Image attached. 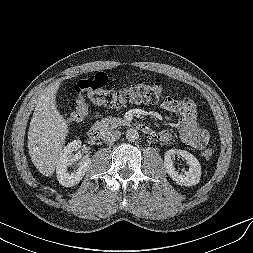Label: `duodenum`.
<instances>
[{
    "instance_id": "obj_1",
    "label": "duodenum",
    "mask_w": 253,
    "mask_h": 253,
    "mask_svg": "<svg viewBox=\"0 0 253 253\" xmlns=\"http://www.w3.org/2000/svg\"><path fill=\"white\" fill-rule=\"evenodd\" d=\"M139 129L147 134V135H152L153 134V130L150 126H148L147 124H141L139 125ZM87 135L89 137V139L91 140H99L102 136V130L98 125H92L87 132Z\"/></svg>"
}]
</instances>
